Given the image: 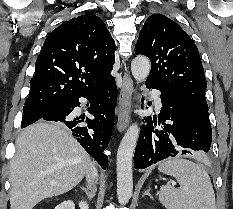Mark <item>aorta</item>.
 <instances>
[{
	"mask_svg": "<svg viewBox=\"0 0 233 209\" xmlns=\"http://www.w3.org/2000/svg\"><path fill=\"white\" fill-rule=\"evenodd\" d=\"M151 64L147 57L137 56L131 63V72L136 81H144L150 73ZM138 124H132L126 131L117 152V197L120 204H126L133 192L132 160L139 137Z\"/></svg>",
	"mask_w": 233,
	"mask_h": 209,
	"instance_id": "1",
	"label": "aorta"
}]
</instances>
